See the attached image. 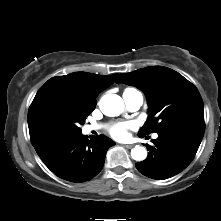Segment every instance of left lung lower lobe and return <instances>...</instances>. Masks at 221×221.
I'll return each instance as SVG.
<instances>
[{
  "mask_svg": "<svg viewBox=\"0 0 221 221\" xmlns=\"http://www.w3.org/2000/svg\"><path fill=\"white\" fill-rule=\"evenodd\" d=\"M205 125L184 123L158 132L152 140L154 146L146 145L148 157L136 163L145 176L164 180L180 173L193 160L204 135Z\"/></svg>",
  "mask_w": 221,
  "mask_h": 221,
  "instance_id": "1",
  "label": "left lung lower lobe"
}]
</instances>
